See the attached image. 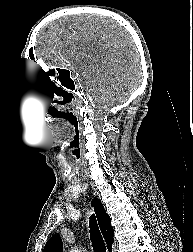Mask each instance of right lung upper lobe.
Segmentation results:
<instances>
[{"mask_svg": "<svg viewBox=\"0 0 193 252\" xmlns=\"http://www.w3.org/2000/svg\"><path fill=\"white\" fill-rule=\"evenodd\" d=\"M92 207L97 216V220L107 243L108 251L112 250L113 243V227L111 226L110 216L106 213L104 206L99 199L94 198L91 202ZM63 243L59 236H52L46 243L43 252H62Z\"/></svg>", "mask_w": 193, "mask_h": 252, "instance_id": "right-lung-upper-lobe-1", "label": "right lung upper lobe"}]
</instances>
